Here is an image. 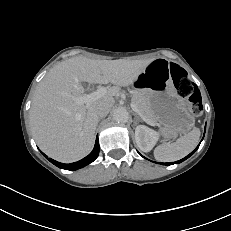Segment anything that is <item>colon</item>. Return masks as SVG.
<instances>
[{
	"label": "colon",
	"mask_w": 231,
	"mask_h": 231,
	"mask_svg": "<svg viewBox=\"0 0 231 231\" xmlns=\"http://www.w3.org/2000/svg\"><path fill=\"white\" fill-rule=\"evenodd\" d=\"M172 77L176 83L178 93L187 97L191 111L198 115L201 113V100L198 90L188 78L186 71L176 64L169 65Z\"/></svg>",
	"instance_id": "5ec220e1"
}]
</instances>
